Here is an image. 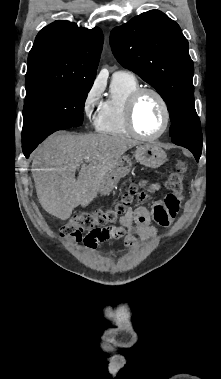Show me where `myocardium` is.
Returning a JSON list of instances; mask_svg holds the SVG:
<instances>
[{
	"label": "myocardium",
	"mask_w": 221,
	"mask_h": 379,
	"mask_svg": "<svg viewBox=\"0 0 221 379\" xmlns=\"http://www.w3.org/2000/svg\"><path fill=\"white\" fill-rule=\"evenodd\" d=\"M145 94H152L154 95L157 100L159 101L162 110H163V115H164V121L162 128L160 129L159 132H157L154 135H145L139 132V130L136 127L135 124V110L138 101L140 98L145 95ZM125 120H126V125L130 133L137 138H140L142 140H156L160 138L168 129L169 124H170V110L169 106L167 104V101L165 100L164 96L156 89L154 88H149V87H140L136 89L128 98L126 102V107H125Z\"/></svg>",
	"instance_id": "f54148a6"
}]
</instances>
